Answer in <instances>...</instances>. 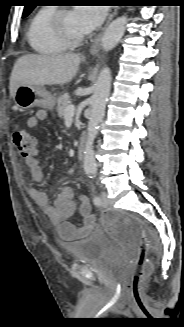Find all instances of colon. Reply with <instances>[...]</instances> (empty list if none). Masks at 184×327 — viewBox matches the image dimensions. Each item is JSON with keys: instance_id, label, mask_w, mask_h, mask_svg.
Instances as JSON below:
<instances>
[{"instance_id": "1", "label": "colon", "mask_w": 184, "mask_h": 327, "mask_svg": "<svg viewBox=\"0 0 184 327\" xmlns=\"http://www.w3.org/2000/svg\"><path fill=\"white\" fill-rule=\"evenodd\" d=\"M13 142L18 153L24 158L30 157L38 147L36 137L20 127L13 131ZM102 220L116 240L128 246H136L137 254L126 288L135 302H141L144 283L151 270L147 250L154 241L153 234L140 219L125 214L106 213Z\"/></svg>"}]
</instances>
